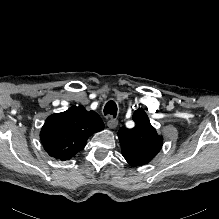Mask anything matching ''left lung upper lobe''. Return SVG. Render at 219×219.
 <instances>
[{
	"label": "left lung upper lobe",
	"mask_w": 219,
	"mask_h": 219,
	"mask_svg": "<svg viewBox=\"0 0 219 219\" xmlns=\"http://www.w3.org/2000/svg\"><path fill=\"white\" fill-rule=\"evenodd\" d=\"M132 118L135 127L121 128L118 136L122 155L128 164L135 167L149 163L161 150L163 139L157 134L143 109L136 110Z\"/></svg>",
	"instance_id": "obj_1"
}]
</instances>
